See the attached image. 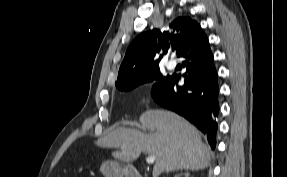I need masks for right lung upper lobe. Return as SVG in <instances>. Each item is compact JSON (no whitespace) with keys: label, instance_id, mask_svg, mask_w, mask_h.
I'll list each match as a JSON object with an SVG mask.
<instances>
[{"label":"right lung upper lobe","instance_id":"1","mask_svg":"<svg viewBox=\"0 0 287 177\" xmlns=\"http://www.w3.org/2000/svg\"><path fill=\"white\" fill-rule=\"evenodd\" d=\"M201 31L202 28L195 20L179 17L162 32L154 29L141 33L127 49L115 85L135 81L159 68L162 50L167 53L171 46L178 56L184 45Z\"/></svg>","mask_w":287,"mask_h":177}]
</instances>
